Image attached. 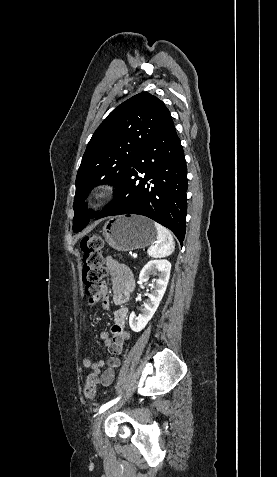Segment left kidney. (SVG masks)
<instances>
[{
    "instance_id": "left-kidney-1",
    "label": "left kidney",
    "mask_w": 277,
    "mask_h": 477,
    "mask_svg": "<svg viewBox=\"0 0 277 477\" xmlns=\"http://www.w3.org/2000/svg\"><path fill=\"white\" fill-rule=\"evenodd\" d=\"M171 271V263L168 260H151L141 270L139 280L147 282L150 275L158 276L152 285L151 294H147L148 300L144 304L138 319H135L134 313L129 317L130 328L134 332L142 331L156 312L168 285Z\"/></svg>"
}]
</instances>
